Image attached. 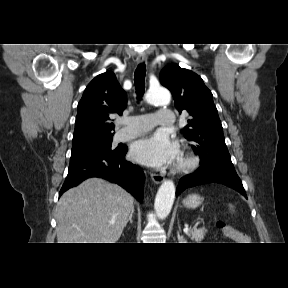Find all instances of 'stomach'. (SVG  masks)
<instances>
[{
  "instance_id": "obj_1",
  "label": "stomach",
  "mask_w": 288,
  "mask_h": 288,
  "mask_svg": "<svg viewBox=\"0 0 288 288\" xmlns=\"http://www.w3.org/2000/svg\"><path fill=\"white\" fill-rule=\"evenodd\" d=\"M202 203V198L199 195L192 194L183 200V204L187 208H196Z\"/></svg>"
}]
</instances>
